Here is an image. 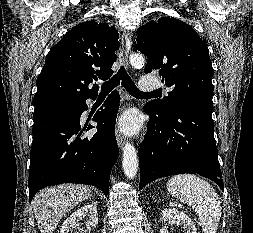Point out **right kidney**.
I'll return each instance as SVG.
<instances>
[{
	"instance_id": "ca27d5eb",
	"label": "right kidney",
	"mask_w": 253,
	"mask_h": 233,
	"mask_svg": "<svg viewBox=\"0 0 253 233\" xmlns=\"http://www.w3.org/2000/svg\"><path fill=\"white\" fill-rule=\"evenodd\" d=\"M88 217L87 230L98 224L97 208L94 204H87L73 212L63 223L60 233H70L72 229H76L79 218ZM86 233V232H85Z\"/></svg>"
}]
</instances>
